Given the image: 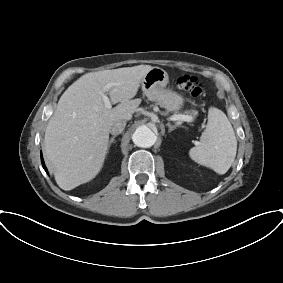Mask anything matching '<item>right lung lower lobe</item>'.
Returning <instances> with one entry per match:
<instances>
[{
  "label": "right lung lower lobe",
  "mask_w": 283,
  "mask_h": 283,
  "mask_svg": "<svg viewBox=\"0 0 283 283\" xmlns=\"http://www.w3.org/2000/svg\"><path fill=\"white\" fill-rule=\"evenodd\" d=\"M41 163H42V166H43L44 170L47 172V169H46V167L44 165V161H43V158H42V154H41Z\"/></svg>",
  "instance_id": "98d812e1"
}]
</instances>
